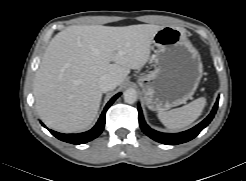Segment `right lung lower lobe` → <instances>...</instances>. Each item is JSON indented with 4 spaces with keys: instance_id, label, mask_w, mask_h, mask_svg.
Here are the masks:
<instances>
[{
    "instance_id": "1",
    "label": "right lung lower lobe",
    "mask_w": 246,
    "mask_h": 181,
    "mask_svg": "<svg viewBox=\"0 0 246 181\" xmlns=\"http://www.w3.org/2000/svg\"><path fill=\"white\" fill-rule=\"evenodd\" d=\"M121 95V93L116 94L105 106L98 122L96 123V125L89 131L84 132V133H80V134H62V133H58L55 132L53 130H50V133H52V135H54L56 138L71 143V144H83L86 142H89L93 139H95L96 137H98L100 135V133L103 131L104 125H105V115H106V111L107 109L111 106V104ZM43 125V124H42ZM44 126V125H43Z\"/></svg>"
}]
</instances>
